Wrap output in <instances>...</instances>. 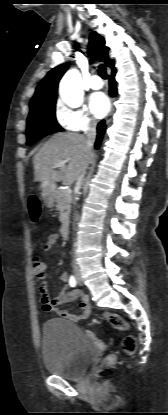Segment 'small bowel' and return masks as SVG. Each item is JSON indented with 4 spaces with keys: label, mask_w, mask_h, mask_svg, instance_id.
Returning a JSON list of instances; mask_svg holds the SVG:
<instances>
[{
    "label": "small bowel",
    "mask_w": 168,
    "mask_h": 415,
    "mask_svg": "<svg viewBox=\"0 0 168 415\" xmlns=\"http://www.w3.org/2000/svg\"><path fill=\"white\" fill-rule=\"evenodd\" d=\"M58 240L59 237L57 234L49 235L47 241L43 246V249L45 251L51 250L52 247L58 242ZM45 269L46 267H44V271ZM60 279L62 281V288L58 296L55 298H50L47 295L45 287L42 284L39 285L43 310L47 312H54L59 317L74 323L87 319L90 314V307L87 296L84 295L80 290L71 288L69 284L68 274L66 272H62L60 274ZM42 280L43 279H40L39 283ZM74 300H78L79 302L80 314L78 315L72 314L69 311L61 308L62 305Z\"/></svg>",
    "instance_id": "obj_1"
}]
</instances>
